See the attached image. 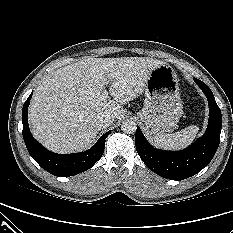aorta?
I'll list each match as a JSON object with an SVG mask.
<instances>
[{"label": "aorta", "mask_w": 233, "mask_h": 233, "mask_svg": "<svg viewBox=\"0 0 233 233\" xmlns=\"http://www.w3.org/2000/svg\"><path fill=\"white\" fill-rule=\"evenodd\" d=\"M121 129L125 133H134L137 129V126L133 120H125L121 124Z\"/></svg>", "instance_id": "1"}]
</instances>
